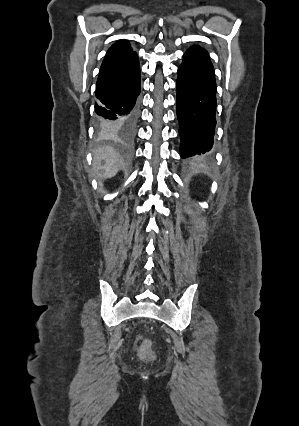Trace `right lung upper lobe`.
<instances>
[{
    "label": "right lung upper lobe",
    "instance_id": "right-lung-upper-lobe-1",
    "mask_svg": "<svg viewBox=\"0 0 299 426\" xmlns=\"http://www.w3.org/2000/svg\"><path fill=\"white\" fill-rule=\"evenodd\" d=\"M134 53L135 52L132 51L129 43L126 40H119L109 48L103 62L119 57L128 56Z\"/></svg>",
    "mask_w": 299,
    "mask_h": 426
}]
</instances>
